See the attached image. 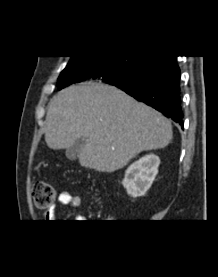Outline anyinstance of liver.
<instances>
[{"label": "liver", "mask_w": 218, "mask_h": 277, "mask_svg": "<svg viewBox=\"0 0 218 277\" xmlns=\"http://www.w3.org/2000/svg\"><path fill=\"white\" fill-rule=\"evenodd\" d=\"M83 137L81 166L99 172L123 168L142 151L165 148L172 126L153 108L103 83L67 87L48 105L45 141L51 149H68Z\"/></svg>", "instance_id": "6515ba94"}]
</instances>
